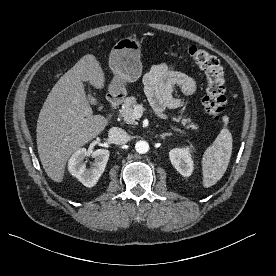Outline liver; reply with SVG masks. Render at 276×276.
<instances>
[{
    "label": "liver",
    "instance_id": "6515ba94",
    "mask_svg": "<svg viewBox=\"0 0 276 276\" xmlns=\"http://www.w3.org/2000/svg\"><path fill=\"white\" fill-rule=\"evenodd\" d=\"M83 82L102 89L105 75L92 54L83 56L54 85L39 113L36 136L46 174L62 182L68 158L98 136L109 121L93 115Z\"/></svg>",
    "mask_w": 276,
    "mask_h": 276
}]
</instances>
